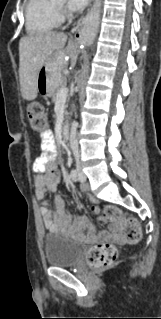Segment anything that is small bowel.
Here are the masks:
<instances>
[{"instance_id": "small-bowel-1", "label": "small bowel", "mask_w": 161, "mask_h": 319, "mask_svg": "<svg viewBox=\"0 0 161 319\" xmlns=\"http://www.w3.org/2000/svg\"><path fill=\"white\" fill-rule=\"evenodd\" d=\"M41 154L33 163V171L35 173V192L37 200L40 204V214L47 230L51 232H60L62 234H70L81 237L86 234L87 239L93 241L97 239L96 227L93 223L85 218L73 221L72 216L65 207L64 199L60 195H55L54 204L55 212H53L46 199L47 192L55 193L57 190L58 177L54 172L56 148L55 139L52 132L41 133ZM53 144V145H49ZM101 223L105 221L100 219ZM120 225L112 223L109 233L103 235L102 239L119 238Z\"/></svg>"}]
</instances>
